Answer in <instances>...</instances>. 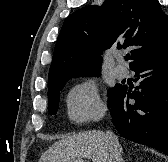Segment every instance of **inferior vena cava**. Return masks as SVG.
Returning a JSON list of instances; mask_svg holds the SVG:
<instances>
[{
    "instance_id": "602c4592",
    "label": "inferior vena cava",
    "mask_w": 168,
    "mask_h": 162,
    "mask_svg": "<svg viewBox=\"0 0 168 162\" xmlns=\"http://www.w3.org/2000/svg\"><path fill=\"white\" fill-rule=\"evenodd\" d=\"M108 149H109V162H121V146L117 137L113 134L112 131L108 130L106 132Z\"/></svg>"
}]
</instances>
